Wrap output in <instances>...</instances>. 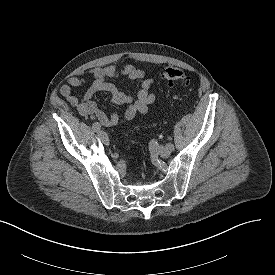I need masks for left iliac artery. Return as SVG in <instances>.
Instances as JSON below:
<instances>
[{
    "label": "left iliac artery",
    "mask_w": 275,
    "mask_h": 275,
    "mask_svg": "<svg viewBox=\"0 0 275 275\" xmlns=\"http://www.w3.org/2000/svg\"><path fill=\"white\" fill-rule=\"evenodd\" d=\"M166 146H167L170 150H173V149H174V145L171 144V143H168Z\"/></svg>",
    "instance_id": "44dca946"
}]
</instances>
